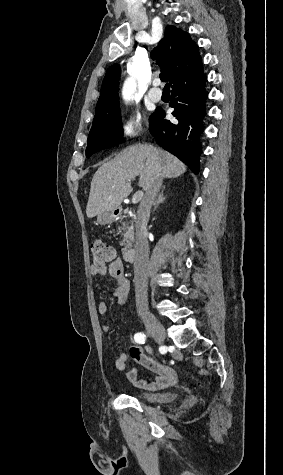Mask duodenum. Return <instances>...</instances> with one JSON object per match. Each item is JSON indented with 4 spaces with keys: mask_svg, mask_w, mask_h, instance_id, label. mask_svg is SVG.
<instances>
[{
    "mask_svg": "<svg viewBox=\"0 0 283 475\" xmlns=\"http://www.w3.org/2000/svg\"><path fill=\"white\" fill-rule=\"evenodd\" d=\"M135 258V249L130 247L124 250L123 252V260L125 262H133Z\"/></svg>",
    "mask_w": 283,
    "mask_h": 475,
    "instance_id": "obj_1",
    "label": "duodenum"
}]
</instances>
